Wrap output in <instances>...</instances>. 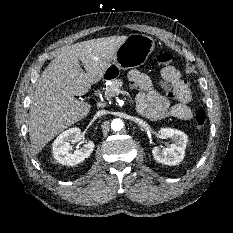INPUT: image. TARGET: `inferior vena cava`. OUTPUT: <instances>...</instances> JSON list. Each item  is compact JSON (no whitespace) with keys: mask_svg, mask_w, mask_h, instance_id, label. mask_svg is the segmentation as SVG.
I'll use <instances>...</instances> for the list:
<instances>
[{"mask_svg":"<svg viewBox=\"0 0 233 233\" xmlns=\"http://www.w3.org/2000/svg\"><path fill=\"white\" fill-rule=\"evenodd\" d=\"M106 112H107L106 110H100L97 112V116H101L103 114H106Z\"/></svg>","mask_w":233,"mask_h":233,"instance_id":"obj_1","label":"inferior vena cava"}]
</instances>
